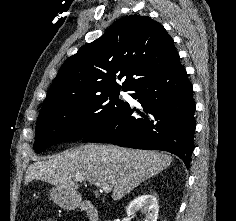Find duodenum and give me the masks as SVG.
I'll return each mask as SVG.
<instances>
[{"label":"duodenum","instance_id":"duodenum-1","mask_svg":"<svg viewBox=\"0 0 236 221\" xmlns=\"http://www.w3.org/2000/svg\"><path fill=\"white\" fill-rule=\"evenodd\" d=\"M81 208L85 211L89 221H99L98 211L91 202L84 201Z\"/></svg>","mask_w":236,"mask_h":221}]
</instances>
